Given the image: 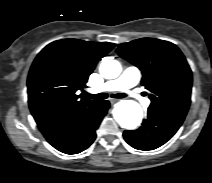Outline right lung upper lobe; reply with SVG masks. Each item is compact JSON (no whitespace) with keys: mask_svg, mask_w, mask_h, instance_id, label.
Here are the masks:
<instances>
[{"mask_svg":"<svg viewBox=\"0 0 212 183\" xmlns=\"http://www.w3.org/2000/svg\"><path fill=\"white\" fill-rule=\"evenodd\" d=\"M107 42L62 39L35 58L27 80L30 111L38 125L78 113L98 102L77 95L86 87L97 62L114 48Z\"/></svg>","mask_w":212,"mask_h":183,"instance_id":"1","label":"right lung upper lobe"}]
</instances>
